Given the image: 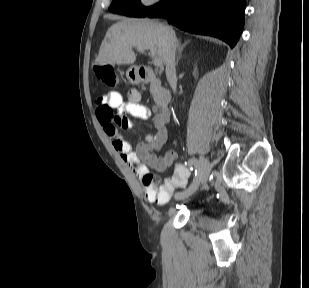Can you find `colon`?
<instances>
[{"label":"colon","instance_id":"1","mask_svg":"<svg viewBox=\"0 0 309 288\" xmlns=\"http://www.w3.org/2000/svg\"><path fill=\"white\" fill-rule=\"evenodd\" d=\"M97 79L103 85L113 88L118 85V75L115 69L110 65L100 64L95 68ZM101 112L105 111V108H100ZM109 113L113 117V121L120 126H123L127 123L128 118L123 111H119L116 114H113V110L109 109ZM143 184L146 188L155 189V184L157 182L156 177L151 173H146L142 176Z\"/></svg>","mask_w":309,"mask_h":288}]
</instances>
